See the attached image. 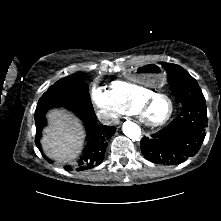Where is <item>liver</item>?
Segmentation results:
<instances>
[{"instance_id": "liver-1", "label": "liver", "mask_w": 221, "mask_h": 221, "mask_svg": "<svg viewBox=\"0 0 221 221\" xmlns=\"http://www.w3.org/2000/svg\"><path fill=\"white\" fill-rule=\"evenodd\" d=\"M49 126L41 139L45 154L59 162L75 159L83 146L84 130L79 120L64 109L47 114Z\"/></svg>"}]
</instances>
